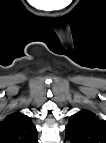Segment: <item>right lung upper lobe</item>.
Here are the masks:
<instances>
[{
	"label": "right lung upper lobe",
	"mask_w": 106,
	"mask_h": 143,
	"mask_svg": "<svg viewBox=\"0 0 106 143\" xmlns=\"http://www.w3.org/2000/svg\"><path fill=\"white\" fill-rule=\"evenodd\" d=\"M37 130L27 115L15 112L0 121V143H33Z\"/></svg>",
	"instance_id": "obj_1"
}]
</instances>
